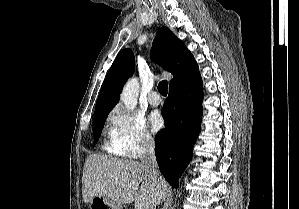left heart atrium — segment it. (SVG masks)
<instances>
[{
    "mask_svg": "<svg viewBox=\"0 0 299 209\" xmlns=\"http://www.w3.org/2000/svg\"><path fill=\"white\" fill-rule=\"evenodd\" d=\"M149 124L153 132H158L164 126V119L159 112H153L149 116Z\"/></svg>",
    "mask_w": 299,
    "mask_h": 209,
    "instance_id": "obj_1",
    "label": "left heart atrium"
}]
</instances>
